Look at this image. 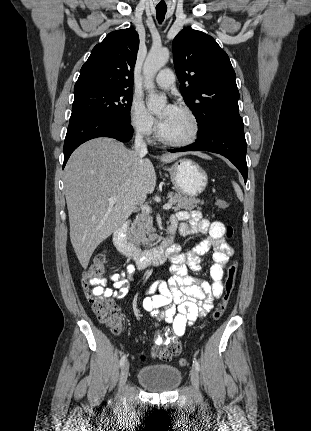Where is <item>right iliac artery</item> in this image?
<instances>
[{
	"instance_id": "obj_1",
	"label": "right iliac artery",
	"mask_w": 311,
	"mask_h": 431,
	"mask_svg": "<svg viewBox=\"0 0 311 431\" xmlns=\"http://www.w3.org/2000/svg\"><path fill=\"white\" fill-rule=\"evenodd\" d=\"M125 361H126V355H123L121 357V359H120V366H123V364L125 363Z\"/></svg>"
}]
</instances>
